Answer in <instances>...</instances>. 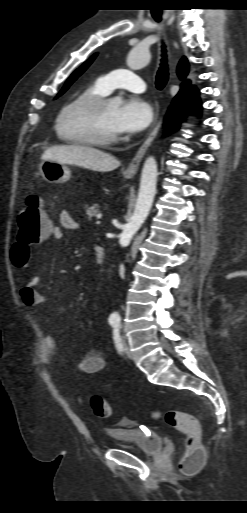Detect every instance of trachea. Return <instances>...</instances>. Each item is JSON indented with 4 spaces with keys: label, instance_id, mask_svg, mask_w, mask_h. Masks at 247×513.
Listing matches in <instances>:
<instances>
[{
    "label": "trachea",
    "instance_id": "1",
    "mask_svg": "<svg viewBox=\"0 0 247 513\" xmlns=\"http://www.w3.org/2000/svg\"><path fill=\"white\" fill-rule=\"evenodd\" d=\"M156 21L159 22L158 19H156ZM162 52H163V54H162L160 68L156 75V87L158 90H162L168 81V67H167L166 50H165L164 45H163Z\"/></svg>",
    "mask_w": 247,
    "mask_h": 513
}]
</instances>
